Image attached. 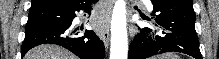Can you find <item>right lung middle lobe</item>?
<instances>
[{"instance_id": "right-lung-middle-lobe-1", "label": "right lung middle lobe", "mask_w": 219, "mask_h": 59, "mask_svg": "<svg viewBox=\"0 0 219 59\" xmlns=\"http://www.w3.org/2000/svg\"><path fill=\"white\" fill-rule=\"evenodd\" d=\"M32 10L29 12L26 30L59 21L60 13L58 11L46 10L44 12H31Z\"/></svg>"}]
</instances>
